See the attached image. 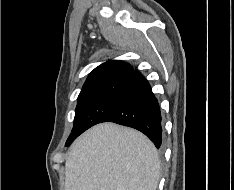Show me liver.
<instances>
[{
	"label": "liver",
	"mask_w": 234,
	"mask_h": 190,
	"mask_svg": "<svg viewBox=\"0 0 234 190\" xmlns=\"http://www.w3.org/2000/svg\"><path fill=\"white\" fill-rule=\"evenodd\" d=\"M160 162L141 132L98 124L78 137L65 163V190H157Z\"/></svg>",
	"instance_id": "obj_1"
}]
</instances>
